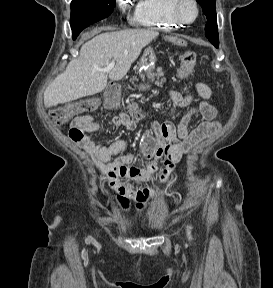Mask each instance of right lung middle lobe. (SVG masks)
Segmentation results:
<instances>
[{
    "mask_svg": "<svg viewBox=\"0 0 273 288\" xmlns=\"http://www.w3.org/2000/svg\"><path fill=\"white\" fill-rule=\"evenodd\" d=\"M114 7L115 0H72L70 23L73 39L84 28L108 17Z\"/></svg>",
    "mask_w": 273,
    "mask_h": 288,
    "instance_id": "obj_1",
    "label": "right lung middle lobe"
}]
</instances>
